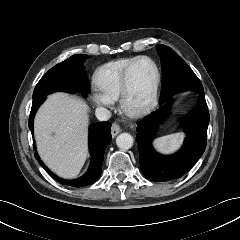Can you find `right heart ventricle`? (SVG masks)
Returning <instances> with one entry per match:
<instances>
[{
    "label": "right heart ventricle",
    "instance_id": "right-heart-ventricle-1",
    "mask_svg": "<svg viewBox=\"0 0 240 240\" xmlns=\"http://www.w3.org/2000/svg\"><path fill=\"white\" fill-rule=\"evenodd\" d=\"M137 57L120 58L98 68L95 76L99 90L112 100L120 96L122 79L127 67Z\"/></svg>",
    "mask_w": 240,
    "mask_h": 240
}]
</instances>
